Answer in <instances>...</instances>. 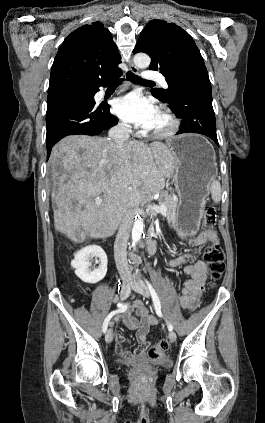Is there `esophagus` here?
<instances>
[{"label": "esophagus", "mask_w": 265, "mask_h": 423, "mask_svg": "<svg viewBox=\"0 0 265 423\" xmlns=\"http://www.w3.org/2000/svg\"><path fill=\"white\" fill-rule=\"evenodd\" d=\"M129 69L133 73H138L139 72L138 68L132 63V61L129 62Z\"/></svg>", "instance_id": "34e87169"}]
</instances>
